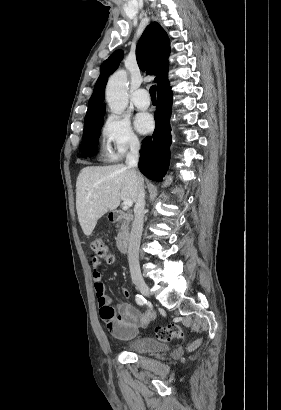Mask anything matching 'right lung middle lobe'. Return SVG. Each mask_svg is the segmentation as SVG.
Listing matches in <instances>:
<instances>
[{
  "instance_id": "right-lung-middle-lobe-1",
  "label": "right lung middle lobe",
  "mask_w": 281,
  "mask_h": 410,
  "mask_svg": "<svg viewBox=\"0 0 281 410\" xmlns=\"http://www.w3.org/2000/svg\"><path fill=\"white\" fill-rule=\"evenodd\" d=\"M102 126L103 116L84 123V134L81 143V151L84 157H92L95 154Z\"/></svg>"
}]
</instances>
